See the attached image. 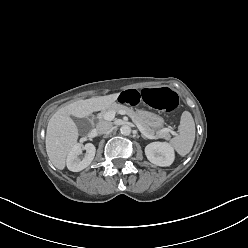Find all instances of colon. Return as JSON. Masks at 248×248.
<instances>
[{
	"instance_id": "5ec220e1",
	"label": "colon",
	"mask_w": 248,
	"mask_h": 248,
	"mask_svg": "<svg viewBox=\"0 0 248 248\" xmlns=\"http://www.w3.org/2000/svg\"><path fill=\"white\" fill-rule=\"evenodd\" d=\"M120 105L149 104L163 112L173 111L178 105V97L167 87L150 89H128L116 96Z\"/></svg>"
}]
</instances>
